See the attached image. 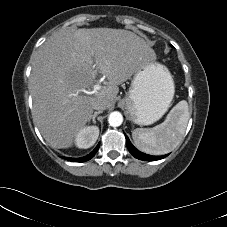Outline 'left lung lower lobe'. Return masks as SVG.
I'll return each instance as SVG.
<instances>
[{
    "label": "left lung lower lobe",
    "mask_w": 227,
    "mask_h": 227,
    "mask_svg": "<svg viewBox=\"0 0 227 227\" xmlns=\"http://www.w3.org/2000/svg\"><path fill=\"white\" fill-rule=\"evenodd\" d=\"M126 137V144H127V148L129 150V152L137 159L139 160H143V161H154V160H159L162 159L164 157H166L167 155L164 156H152V155H147L145 153L140 152L139 150H137L132 143L130 142L129 138L127 137V135H125Z\"/></svg>",
    "instance_id": "1"
}]
</instances>
